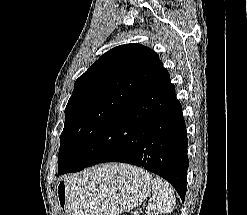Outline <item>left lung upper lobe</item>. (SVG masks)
<instances>
[{
	"label": "left lung upper lobe",
	"mask_w": 247,
	"mask_h": 215,
	"mask_svg": "<svg viewBox=\"0 0 247 215\" xmlns=\"http://www.w3.org/2000/svg\"><path fill=\"white\" fill-rule=\"evenodd\" d=\"M161 65L140 44H125L103 54L74 86L60 136L58 174L73 166L85 145L97 143L116 123Z\"/></svg>",
	"instance_id": "obj_1"
}]
</instances>
